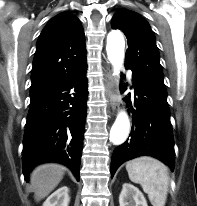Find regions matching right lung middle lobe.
I'll return each instance as SVG.
<instances>
[{"label": "right lung middle lobe", "mask_w": 197, "mask_h": 206, "mask_svg": "<svg viewBox=\"0 0 197 206\" xmlns=\"http://www.w3.org/2000/svg\"><path fill=\"white\" fill-rule=\"evenodd\" d=\"M44 93H30L31 101L39 98L42 96Z\"/></svg>", "instance_id": "right-lung-middle-lobe-1"}]
</instances>
